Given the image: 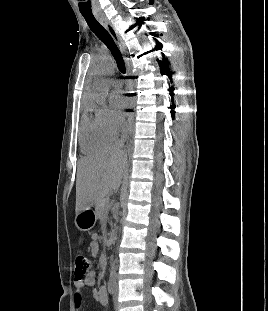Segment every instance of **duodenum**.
Here are the masks:
<instances>
[{
    "mask_svg": "<svg viewBox=\"0 0 268 311\" xmlns=\"http://www.w3.org/2000/svg\"><path fill=\"white\" fill-rule=\"evenodd\" d=\"M114 240H115L114 236L111 233H109L105 238V245L107 247H111L114 244Z\"/></svg>",
    "mask_w": 268,
    "mask_h": 311,
    "instance_id": "obj_1",
    "label": "duodenum"
}]
</instances>
